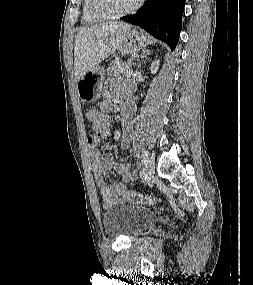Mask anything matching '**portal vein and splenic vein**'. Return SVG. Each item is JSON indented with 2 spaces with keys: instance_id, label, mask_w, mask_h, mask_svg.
I'll return each instance as SVG.
<instances>
[{
  "instance_id": "18ae733b",
  "label": "portal vein and splenic vein",
  "mask_w": 253,
  "mask_h": 285,
  "mask_svg": "<svg viewBox=\"0 0 253 285\" xmlns=\"http://www.w3.org/2000/svg\"><path fill=\"white\" fill-rule=\"evenodd\" d=\"M132 74H133V70L131 69L127 72L126 77L130 78L132 76Z\"/></svg>"
}]
</instances>
